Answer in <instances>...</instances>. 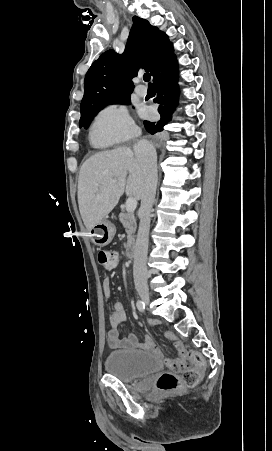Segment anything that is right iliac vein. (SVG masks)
<instances>
[{"label": "right iliac vein", "mask_w": 272, "mask_h": 451, "mask_svg": "<svg viewBox=\"0 0 272 451\" xmlns=\"http://www.w3.org/2000/svg\"><path fill=\"white\" fill-rule=\"evenodd\" d=\"M138 294L140 296V298L142 299V301L145 304H149L150 303V294H149V290L147 287H141L138 290Z\"/></svg>", "instance_id": "1"}]
</instances>
